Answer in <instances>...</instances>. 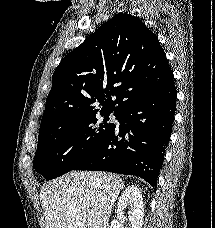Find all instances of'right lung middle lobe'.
Returning a JSON list of instances; mask_svg holds the SVG:
<instances>
[{
    "label": "right lung middle lobe",
    "instance_id": "1",
    "mask_svg": "<svg viewBox=\"0 0 215 228\" xmlns=\"http://www.w3.org/2000/svg\"><path fill=\"white\" fill-rule=\"evenodd\" d=\"M110 113H101L104 119L98 125L94 114L41 128L33 161L36 172L51 180L71 171L112 132L115 124L107 122Z\"/></svg>",
    "mask_w": 215,
    "mask_h": 228
}]
</instances>
